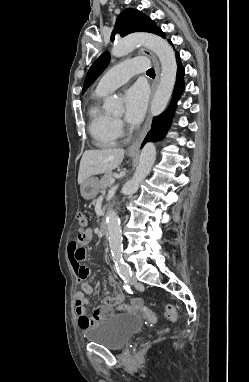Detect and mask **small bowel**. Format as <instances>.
<instances>
[{
	"label": "small bowel",
	"mask_w": 249,
	"mask_h": 382,
	"mask_svg": "<svg viewBox=\"0 0 249 382\" xmlns=\"http://www.w3.org/2000/svg\"><path fill=\"white\" fill-rule=\"evenodd\" d=\"M93 236L92 230L87 229L84 234L83 241H79L78 237L72 242L68 243V253L67 258L70 259L71 266L76 268V266H80L81 262H87L88 254L86 253V246L89 244ZM81 291L76 294L75 302H76V312L78 315V325L82 330H86L90 326L104 320L111 314V306L108 305H98L93 310L91 316L87 315V305L89 304V300L85 297V295H92L93 288L92 286L85 281V279L79 278ZM109 284L114 288L115 294H120L122 296V292L112 275L108 276ZM137 305H141L140 300H135Z\"/></svg>",
	"instance_id": "c3829d8e"
}]
</instances>
